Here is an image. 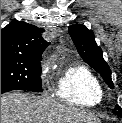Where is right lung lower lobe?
Masks as SVG:
<instances>
[{
	"label": "right lung lower lobe",
	"instance_id": "obj_1",
	"mask_svg": "<svg viewBox=\"0 0 122 123\" xmlns=\"http://www.w3.org/2000/svg\"><path fill=\"white\" fill-rule=\"evenodd\" d=\"M8 91H11V89H1V94L5 93V92H8Z\"/></svg>",
	"mask_w": 122,
	"mask_h": 123
}]
</instances>
